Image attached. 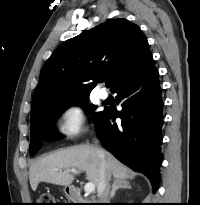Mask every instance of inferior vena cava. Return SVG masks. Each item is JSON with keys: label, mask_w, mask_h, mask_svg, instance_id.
Listing matches in <instances>:
<instances>
[{"label": "inferior vena cava", "mask_w": 200, "mask_h": 205, "mask_svg": "<svg viewBox=\"0 0 200 205\" xmlns=\"http://www.w3.org/2000/svg\"><path fill=\"white\" fill-rule=\"evenodd\" d=\"M97 153L100 157L103 158V152L96 147ZM101 182L98 187V197L101 200V203H109V191H110V175L106 173L104 164H102V168L100 171Z\"/></svg>", "instance_id": "inferior-vena-cava-1"}]
</instances>
